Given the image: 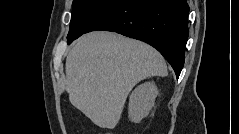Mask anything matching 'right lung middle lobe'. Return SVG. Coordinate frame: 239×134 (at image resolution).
<instances>
[{"instance_id": "obj_1", "label": "right lung middle lobe", "mask_w": 239, "mask_h": 134, "mask_svg": "<svg viewBox=\"0 0 239 134\" xmlns=\"http://www.w3.org/2000/svg\"><path fill=\"white\" fill-rule=\"evenodd\" d=\"M118 0H73L68 43L83 34L86 28Z\"/></svg>"}]
</instances>
